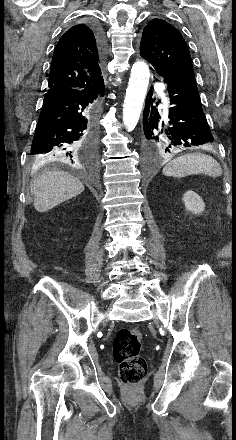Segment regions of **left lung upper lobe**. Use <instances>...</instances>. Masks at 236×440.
Wrapping results in <instances>:
<instances>
[{"instance_id":"5c2ea615","label":"left lung upper lobe","mask_w":236,"mask_h":440,"mask_svg":"<svg viewBox=\"0 0 236 440\" xmlns=\"http://www.w3.org/2000/svg\"><path fill=\"white\" fill-rule=\"evenodd\" d=\"M140 54L160 77L184 73L194 75L188 46L181 33L162 19H153L144 28Z\"/></svg>"}]
</instances>
